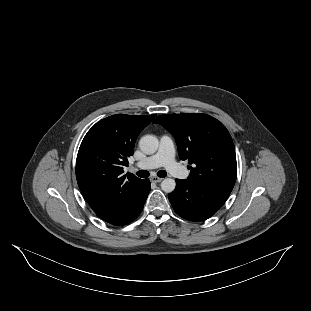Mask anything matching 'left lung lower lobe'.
<instances>
[{"label":"left lung lower lobe","mask_w":311,"mask_h":311,"mask_svg":"<svg viewBox=\"0 0 311 311\" xmlns=\"http://www.w3.org/2000/svg\"><path fill=\"white\" fill-rule=\"evenodd\" d=\"M230 193L227 190L176 179V188L168 198L175 212L182 218L189 221H203L222 207Z\"/></svg>","instance_id":"0a47b994"}]
</instances>
